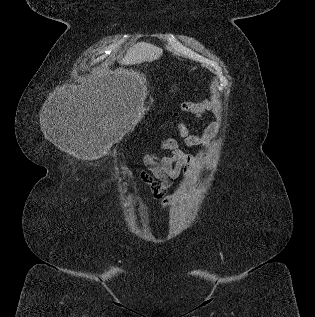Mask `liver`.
<instances>
[{"label":"liver","instance_id":"1","mask_svg":"<svg viewBox=\"0 0 315 317\" xmlns=\"http://www.w3.org/2000/svg\"><path fill=\"white\" fill-rule=\"evenodd\" d=\"M163 50L153 45H135L122 59V65L141 64L143 62H152L162 56ZM125 93L123 97H126Z\"/></svg>","mask_w":315,"mask_h":317}]
</instances>
